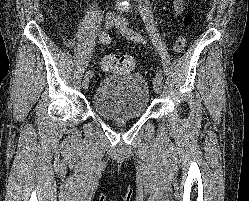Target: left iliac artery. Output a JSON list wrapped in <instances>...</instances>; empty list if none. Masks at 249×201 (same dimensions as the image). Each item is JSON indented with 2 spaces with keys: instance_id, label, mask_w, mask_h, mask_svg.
<instances>
[{
  "instance_id": "obj_1",
  "label": "left iliac artery",
  "mask_w": 249,
  "mask_h": 201,
  "mask_svg": "<svg viewBox=\"0 0 249 201\" xmlns=\"http://www.w3.org/2000/svg\"><path fill=\"white\" fill-rule=\"evenodd\" d=\"M126 31H127L128 36L131 39H134L137 42L145 43L144 38L139 33H137L136 31H134L132 29H127ZM156 76L159 77L161 80L163 78L162 72L160 70L156 72Z\"/></svg>"
}]
</instances>
